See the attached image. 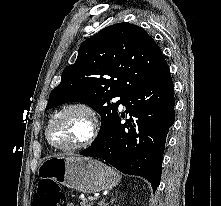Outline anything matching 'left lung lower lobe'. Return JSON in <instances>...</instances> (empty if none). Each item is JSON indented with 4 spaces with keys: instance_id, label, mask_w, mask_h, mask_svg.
<instances>
[{
    "instance_id": "1",
    "label": "left lung lower lobe",
    "mask_w": 221,
    "mask_h": 206,
    "mask_svg": "<svg viewBox=\"0 0 221 206\" xmlns=\"http://www.w3.org/2000/svg\"><path fill=\"white\" fill-rule=\"evenodd\" d=\"M122 104L130 116L128 122L121 124L118 116L111 129L80 154L104 159L123 173L142 176L155 191L160 183L166 137L175 116L169 68L136 89Z\"/></svg>"
}]
</instances>
